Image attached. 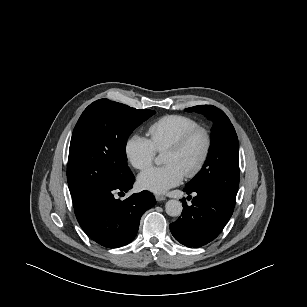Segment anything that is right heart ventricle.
I'll return each instance as SVG.
<instances>
[{"label": "right heart ventricle", "mask_w": 307, "mask_h": 307, "mask_svg": "<svg viewBox=\"0 0 307 307\" xmlns=\"http://www.w3.org/2000/svg\"><path fill=\"white\" fill-rule=\"evenodd\" d=\"M198 126V122L189 116L167 115L148 127L149 140L157 152L165 149L186 131Z\"/></svg>", "instance_id": "e07e8e85"}]
</instances>
